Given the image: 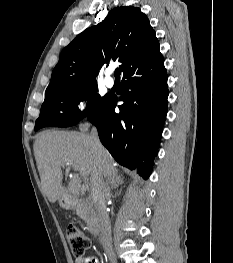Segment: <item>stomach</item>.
Instances as JSON below:
<instances>
[{
    "label": "stomach",
    "mask_w": 233,
    "mask_h": 263,
    "mask_svg": "<svg viewBox=\"0 0 233 263\" xmlns=\"http://www.w3.org/2000/svg\"><path fill=\"white\" fill-rule=\"evenodd\" d=\"M59 204L63 208H69V206H70L69 200H68V198L66 196H62L59 199Z\"/></svg>",
    "instance_id": "stomach-1"
}]
</instances>
